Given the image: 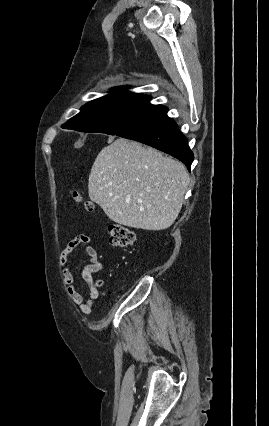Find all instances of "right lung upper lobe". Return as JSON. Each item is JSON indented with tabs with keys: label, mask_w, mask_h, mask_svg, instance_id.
<instances>
[{
	"label": "right lung upper lobe",
	"mask_w": 269,
	"mask_h": 426,
	"mask_svg": "<svg viewBox=\"0 0 269 426\" xmlns=\"http://www.w3.org/2000/svg\"><path fill=\"white\" fill-rule=\"evenodd\" d=\"M124 89H125V87H117V88L113 89L115 91H113L112 93H128V92L124 91Z\"/></svg>",
	"instance_id": "obj_1"
}]
</instances>
